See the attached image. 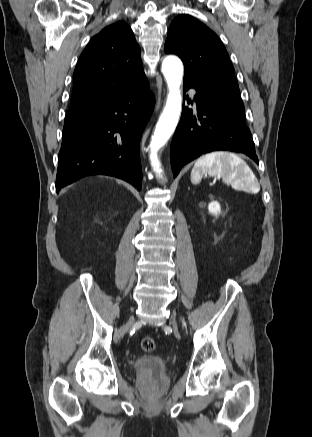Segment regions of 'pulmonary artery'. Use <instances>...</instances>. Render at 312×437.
<instances>
[{
	"label": "pulmonary artery",
	"instance_id": "pulmonary-artery-1",
	"mask_svg": "<svg viewBox=\"0 0 312 437\" xmlns=\"http://www.w3.org/2000/svg\"><path fill=\"white\" fill-rule=\"evenodd\" d=\"M190 93L192 96L195 94V92L193 90H191Z\"/></svg>",
	"mask_w": 312,
	"mask_h": 437
}]
</instances>
